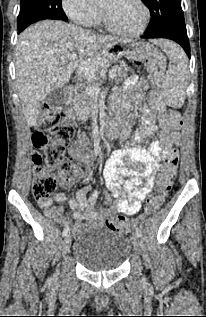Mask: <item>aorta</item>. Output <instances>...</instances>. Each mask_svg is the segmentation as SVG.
<instances>
[{
	"mask_svg": "<svg viewBox=\"0 0 206 317\" xmlns=\"http://www.w3.org/2000/svg\"><path fill=\"white\" fill-rule=\"evenodd\" d=\"M88 2L92 3V2H96L98 0H87Z\"/></svg>",
	"mask_w": 206,
	"mask_h": 317,
	"instance_id": "762f6f07",
	"label": "aorta"
}]
</instances>
